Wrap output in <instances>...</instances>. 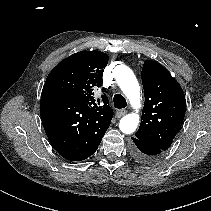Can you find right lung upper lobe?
Masks as SVG:
<instances>
[{
  "instance_id": "obj_1",
  "label": "right lung upper lobe",
  "mask_w": 211,
  "mask_h": 211,
  "mask_svg": "<svg viewBox=\"0 0 211 211\" xmlns=\"http://www.w3.org/2000/svg\"><path fill=\"white\" fill-rule=\"evenodd\" d=\"M108 55L100 51H81L61 61L48 75L43 90L74 98L86 115L95 116L102 123H111L113 110L107 97L102 106L95 103L94 89L102 86Z\"/></svg>"
}]
</instances>
